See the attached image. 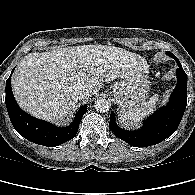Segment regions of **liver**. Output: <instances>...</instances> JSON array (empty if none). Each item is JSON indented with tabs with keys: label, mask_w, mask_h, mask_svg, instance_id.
Segmentation results:
<instances>
[{
	"label": "liver",
	"mask_w": 195,
	"mask_h": 195,
	"mask_svg": "<svg viewBox=\"0 0 195 195\" xmlns=\"http://www.w3.org/2000/svg\"><path fill=\"white\" fill-rule=\"evenodd\" d=\"M145 64L140 55L115 46L55 47L27 54L12 76V90L21 108L56 122L75 107L76 88L85 87L92 96L104 82L127 78L136 66Z\"/></svg>",
	"instance_id": "obj_1"
}]
</instances>
